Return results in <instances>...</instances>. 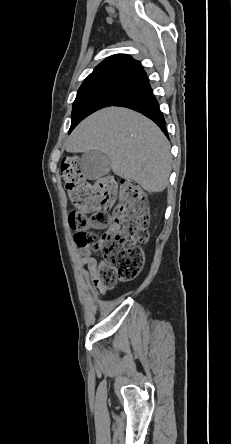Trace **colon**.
Masks as SVG:
<instances>
[{
  "label": "colon",
  "instance_id": "colon-1",
  "mask_svg": "<svg viewBox=\"0 0 231 444\" xmlns=\"http://www.w3.org/2000/svg\"><path fill=\"white\" fill-rule=\"evenodd\" d=\"M61 174L75 206L69 215L70 226L80 234L82 248L101 253L105 262L99 275L101 287L109 290L117 281L136 278L144 265L141 244L148 239L149 225L148 201L142 189L130 180L118 182L113 177L89 183L76 157L62 161ZM97 230L104 232L98 236Z\"/></svg>",
  "mask_w": 231,
  "mask_h": 444
}]
</instances>
